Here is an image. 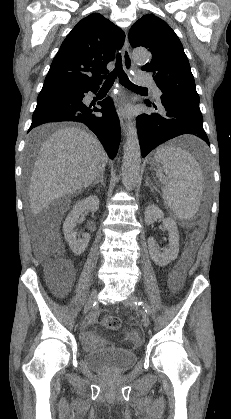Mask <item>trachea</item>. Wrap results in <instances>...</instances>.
Instances as JSON below:
<instances>
[{"instance_id": "3493384b", "label": "trachea", "mask_w": 231, "mask_h": 419, "mask_svg": "<svg viewBox=\"0 0 231 419\" xmlns=\"http://www.w3.org/2000/svg\"><path fill=\"white\" fill-rule=\"evenodd\" d=\"M117 77L119 78L120 84L124 86L125 88L131 89V90H147V88L134 85L129 80L127 74L123 70L122 58L119 53L117 54L115 69L109 75L103 76V78L105 79V82L103 83L102 88L112 87Z\"/></svg>"}]
</instances>
